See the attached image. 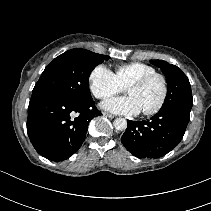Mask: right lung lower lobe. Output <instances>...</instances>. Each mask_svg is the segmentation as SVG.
Listing matches in <instances>:
<instances>
[{"label": "right lung lower lobe", "instance_id": "1", "mask_svg": "<svg viewBox=\"0 0 211 211\" xmlns=\"http://www.w3.org/2000/svg\"><path fill=\"white\" fill-rule=\"evenodd\" d=\"M94 101L76 102L57 96H32L27 132L36 151L51 161H63L82 145L89 121L101 115Z\"/></svg>", "mask_w": 211, "mask_h": 211}]
</instances>
